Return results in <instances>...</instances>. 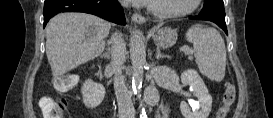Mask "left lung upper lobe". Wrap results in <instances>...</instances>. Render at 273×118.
Wrapping results in <instances>:
<instances>
[{"label": "left lung upper lobe", "instance_id": "5c2ea615", "mask_svg": "<svg viewBox=\"0 0 273 118\" xmlns=\"http://www.w3.org/2000/svg\"><path fill=\"white\" fill-rule=\"evenodd\" d=\"M199 14L225 20L223 0H204L203 9Z\"/></svg>", "mask_w": 273, "mask_h": 118}]
</instances>
